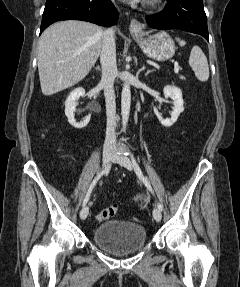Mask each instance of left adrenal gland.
<instances>
[{"label":"left adrenal gland","mask_w":240,"mask_h":287,"mask_svg":"<svg viewBox=\"0 0 240 287\" xmlns=\"http://www.w3.org/2000/svg\"><path fill=\"white\" fill-rule=\"evenodd\" d=\"M143 70L145 69V66L142 68ZM153 70L148 69L147 72L145 73V76H147L149 73H151Z\"/></svg>","instance_id":"a2214340"}]
</instances>
